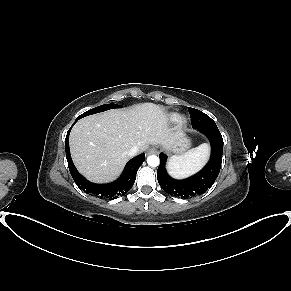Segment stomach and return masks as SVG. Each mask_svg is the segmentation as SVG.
Returning a JSON list of instances; mask_svg holds the SVG:
<instances>
[{"label":"stomach","instance_id":"1","mask_svg":"<svg viewBox=\"0 0 291 291\" xmlns=\"http://www.w3.org/2000/svg\"><path fill=\"white\" fill-rule=\"evenodd\" d=\"M189 147V140L184 137H181L176 141V143L170 149L172 152L177 154H182Z\"/></svg>","mask_w":291,"mask_h":291}]
</instances>
